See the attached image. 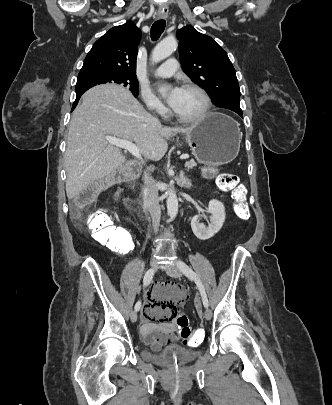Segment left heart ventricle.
Listing matches in <instances>:
<instances>
[{
	"mask_svg": "<svg viewBox=\"0 0 332 405\" xmlns=\"http://www.w3.org/2000/svg\"><path fill=\"white\" fill-rule=\"evenodd\" d=\"M202 107L203 100L198 93L182 89L180 98L173 109L179 116L190 118L196 116Z\"/></svg>",
	"mask_w": 332,
	"mask_h": 405,
	"instance_id": "obj_1",
	"label": "left heart ventricle"
}]
</instances>
